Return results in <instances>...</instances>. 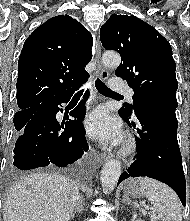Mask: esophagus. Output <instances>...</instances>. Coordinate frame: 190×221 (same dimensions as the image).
Masks as SVG:
<instances>
[{
  "mask_svg": "<svg viewBox=\"0 0 190 221\" xmlns=\"http://www.w3.org/2000/svg\"><path fill=\"white\" fill-rule=\"evenodd\" d=\"M95 50L96 51H95L94 61L97 66V73L103 80H107L109 77V73H108L107 69L102 65V62H101V45H100V41L98 39L95 42ZM109 158H110V156L107 153H100L99 154L100 160L106 161Z\"/></svg>",
  "mask_w": 190,
  "mask_h": 221,
  "instance_id": "1",
  "label": "esophagus"
}]
</instances>
